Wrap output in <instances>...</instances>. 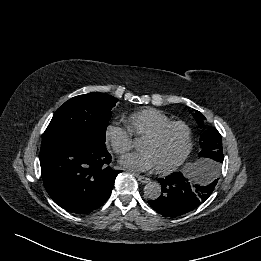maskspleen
<instances>
[{"label":"spleen","mask_w":261,"mask_h":261,"mask_svg":"<svg viewBox=\"0 0 261 261\" xmlns=\"http://www.w3.org/2000/svg\"><path fill=\"white\" fill-rule=\"evenodd\" d=\"M202 165L197 166L196 169L188 171L186 174L188 177H194L196 181L202 182L204 175L202 173Z\"/></svg>","instance_id":"spleen-1"}]
</instances>
